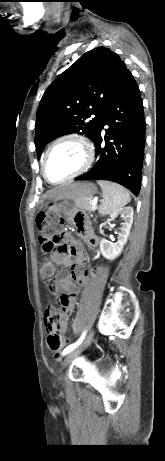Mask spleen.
Listing matches in <instances>:
<instances>
[{
  "instance_id": "obj_1",
  "label": "spleen",
  "mask_w": 165,
  "mask_h": 461,
  "mask_svg": "<svg viewBox=\"0 0 165 461\" xmlns=\"http://www.w3.org/2000/svg\"><path fill=\"white\" fill-rule=\"evenodd\" d=\"M97 183L102 189L103 196V200L99 207L100 214H112L130 202V194L123 186L102 180H99Z\"/></svg>"
}]
</instances>
